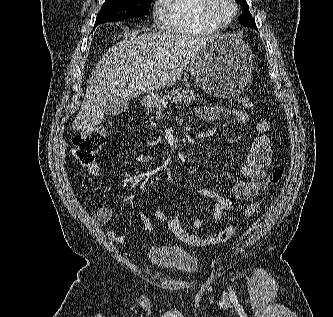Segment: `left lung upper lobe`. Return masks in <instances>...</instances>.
Segmentation results:
<instances>
[{"instance_id":"5c2ea615","label":"left lung upper lobe","mask_w":333,"mask_h":317,"mask_svg":"<svg viewBox=\"0 0 333 317\" xmlns=\"http://www.w3.org/2000/svg\"><path fill=\"white\" fill-rule=\"evenodd\" d=\"M237 2H239L244 9L243 15L239 18V22L246 27H251L257 30L255 20L252 18V15L249 12V6L246 0H237Z\"/></svg>"}]
</instances>
